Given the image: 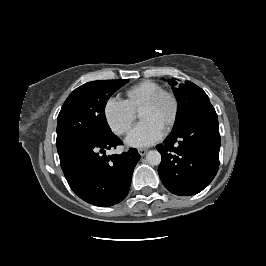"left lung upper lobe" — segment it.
<instances>
[{"label":"left lung upper lobe","instance_id":"left-lung-upper-lobe-1","mask_svg":"<svg viewBox=\"0 0 266 266\" xmlns=\"http://www.w3.org/2000/svg\"><path fill=\"white\" fill-rule=\"evenodd\" d=\"M168 82L173 87V91L178 100V110L171 132L173 133L181 128L190 118L212 107V105L207 94L196 84L186 81L175 88L176 81L169 80Z\"/></svg>","mask_w":266,"mask_h":266}]
</instances>
